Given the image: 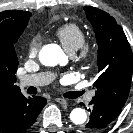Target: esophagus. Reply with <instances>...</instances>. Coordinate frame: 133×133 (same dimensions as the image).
Instances as JSON below:
<instances>
[{
    "mask_svg": "<svg viewBox=\"0 0 133 133\" xmlns=\"http://www.w3.org/2000/svg\"><path fill=\"white\" fill-rule=\"evenodd\" d=\"M54 100L62 105L67 104V100H65L64 98H55Z\"/></svg>",
    "mask_w": 133,
    "mask_h": 133,
    "instance_id": "1",
    "label": "esophagus"
}]
</instances>
